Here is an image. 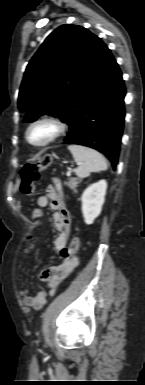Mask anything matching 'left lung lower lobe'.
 Masks as SVG:
<instances>
[{
  "mask_svg": "<svg viewBox=\"0 0 145 385\" xmlns=\"http://www.w3.org/2000/svg\"><path fill=\"white\" fill-rule=\"evenodd\" d=\"M125 94L118 64L99 38L66 122L70 132L64 142L98 150L109 158L115 169L124 127Z\"/></svg>",
  "mask_w": 145,
  "mask_h": 385,
  "instance_id": "0a47b994",
  "label": "left lung lower lobe"
}]
</instances>
